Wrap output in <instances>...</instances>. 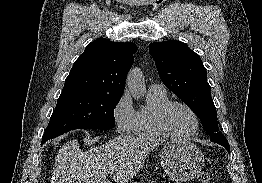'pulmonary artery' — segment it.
<instances>
[{
    "label": "pulmonary artery",
    "mask_w": 262,
    "mask_h": 183,
    "mask_svg": "<svg viewBox=\"0 0 262 183\" xmlns=\"http://www.w3.org/2000/svg\"><path fill=\"white\" fill-rule=\"evenodd\" d=\"M150 91H165V87L162 84L154 83L149 87Z\"/></svg>",
    "instance_id": "obj_1"
}]
</instances>
